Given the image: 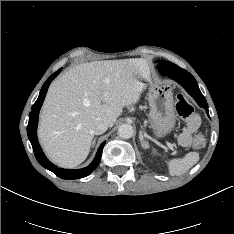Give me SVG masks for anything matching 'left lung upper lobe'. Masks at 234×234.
Masks as SVG:
<instances>
[{"instance_id":"left-lung-upper-lobe-1","label":"left lung upper lobe","mask_w":234,"mask_h":234,"mask_svg":"<svg viewBox=\"0 0 234 234\" xmlns=\"http://www.w3.org/2000/svg\"><path fill=\"white\" fill-rule=\"evenodd\" d=\"M157 63V68L161 73H164L165 71H176L180 69V67L168 61H157Z\"/></svg>"}]
</instances>
